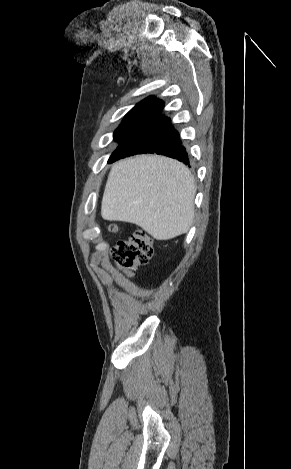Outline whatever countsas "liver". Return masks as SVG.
Returning a JSON list of instances; mask_svg holds the SVG:
<instances>
[{
    "label": "liver",
    "mask_w": 291,
    "mask_h": 469,
    "mask_svg": "<svg viewBox=\"0 0 291 469\" xmlns=\"http://www.w3.org/2000/svg\"><path fill=\"white\" fill-rule=\"evenodd\" d=\"M196 186L182 163L140 155L113 164L105 186L101 216L138 225L156 240L186 233L194 218Z\"/></svg>",
    "instance_id": "6515ba94"
}]
</instances>
